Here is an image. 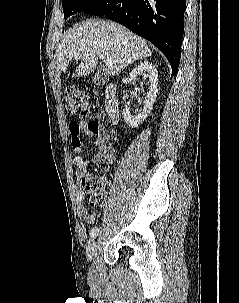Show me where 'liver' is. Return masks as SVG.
<instances>
[{
  "label": "liver",
  "mask_w": 239,
  "mask_h": 303,
  "mask_svg": "<svg viewBox=\"0 0 239 303\" xmlns=\"http://www.w3.org/2000/svg\"><path fill=\"white\" fill-rule=\"evenodd\" d=\"M146 41L114 22L92 19L70 29L56 49L59 73H66L73 60H81L75 76H86L96 68L98 58L112 60L106 74L118 75L136 60L150 57Z\"/></svg>",
  "instance_id": "1"
}]
</instances>
